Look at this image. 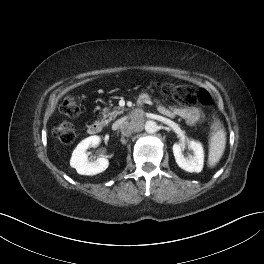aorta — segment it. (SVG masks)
Returning <instances> with one entry per match:
<instances>
[{
  "mask_svg": "<svg viewBox=\"0 0 264 264\" xmlns=\"http://www.w3.org/2000/svg\"><path fill=\"white\" fill-rule=\"evenodd\" d=\"M158 130V126L156 124V122L154 121H147L145 123V131L149 134H153L155 132H157Z\"/></svg>",
  "mask_w": 264,
  "mask_h": 264,
  "instance_id": "1",
  "label": "aorta"
}]
</instances>
